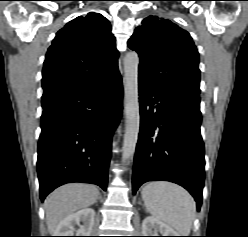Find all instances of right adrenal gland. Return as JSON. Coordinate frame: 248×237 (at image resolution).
<instances>
[{"label": "right adrenal gland", "mask_w": 248, "mask_h": 237, "mask_svg": "<svg viewBox=\"0 0 248 237\" xmlns=\"http://www.w3.org/2000/svg\"><path fill=\"white\" fill-rule=\"evenodd\" d=\"M98 199L101 200V195H99Z\"/></svg>", "instance_id": "2a0ac1e0"}]
</instances>
